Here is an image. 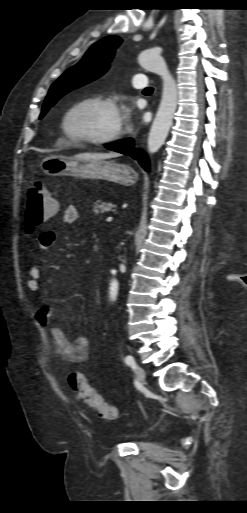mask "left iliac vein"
Wrapping results in <instances>:
<instances>
[{
  "mask_svg": "<svg viewBox=\"0 0 247 513\" xmlns=\"http://www.w3.org/2000/svg\"><path fill=\"white\" fill-rule=\"evenodd\" d=\"M136 374H137L138 379L141 382H143L145 380L146 373H145L144 369L139 365L136 366Z\"/></svg>",
  "mask_w": 247,
  "mask_h": 513,
  "instance_id": "4c4485c4",
  "label": "left iliac vein"
}]
</instances>
